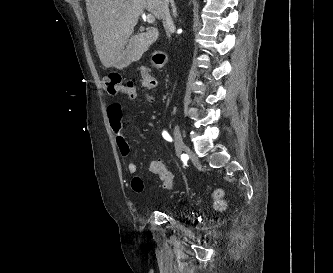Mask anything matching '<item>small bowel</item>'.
<instances>
[{
    "label": "small bowel",
    "instance_id": "small-bowel-1",
    "mask_svg": "<svg viewBox=\"0 0 333 273\" xmlns=\"http://www.w3.org/2000/svg\"><path fill=\"white\" fill-rule=\"evenodd\" d=\"M153 71L150 66H142L140 70V77H142V90L143 91H156L157 85L155 79L152 77ZM132 101H137V96H132ZM147 102L151 104L153 99L148 97ZM108 119L110 127L115 133V140L118 150L122 157L127 158L130 155V146L124 135L122 134V105L114 103L108 108ZM127 171L131 175L137 172V166L133 162L127 164ZM157 176V175H156ZM132 190L136 193L144 191V183L139 176H134L131 180Z\"/></svg>",
    "mask_w": 333,
    "mask_h": 273
}]
</instances>
